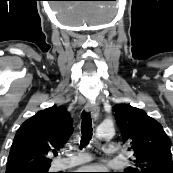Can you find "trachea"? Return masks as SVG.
<instances>
[{"instance_id": "trachea-1", "label": "trachea", "mask_w": 173, "mask_h": 173, "mask_svg": "<svg viewBox=\"0 0 173 173\" xmlns=\"http://www.w3.org/2000/svg\"><path fill=\"white\" fill-rule=\"evenodd\" d=\"M81 147H84L89 144L90 139L92 138V120L89 113L83 112L81 115Z\"/></svg>"}]
</instances>
